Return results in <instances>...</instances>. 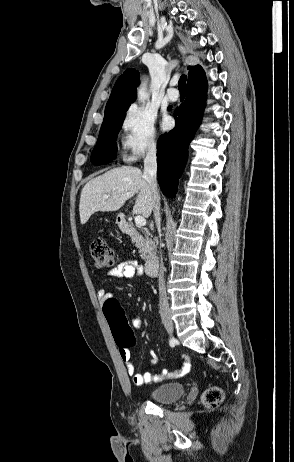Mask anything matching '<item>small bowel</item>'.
<instances>
[{"instance_id": "small-bowel-1", "label": "small bowel", "mask_w": 294, "mask_h": 462, "mask_svg": "<svg viewBox=\"0 0 294 462\" xmlns=\"http://www.w3.org/2000/svg\"><path fill=\"white\" fill-rule=\"evenodd\" d=\"M142 272L141 267L132 260L124 261L118 264L115 268L108 271V276L116 278H133L140 275ZM98 298L104 302L105 299L110 296L109 292L105 289H100L97 293ZM134 328H140L143 325V319L141 317H135L131 321ZM152 357L150 365L155 366L157 363V356L153 350H150ZM119 354L121 360L125 364L126 371L129 376L132 377V381L136 386H142L144 384L159 382L170 378H180L187 374L190 370V363L186 359L175 371L168 372L167 370H161L156 374L151 372L137 373L135 366L131 360V353L128 348L119 347Z\"/></svg>"}]
</instances>
